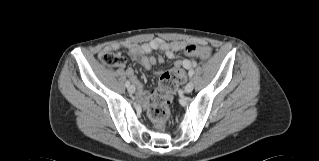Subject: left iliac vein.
<instances>
[{"label": "left iliac vein", "instance_id": "obj_1", "mask_svg": "<svg viewBox=\"0 0 319 161\" xmlns=\"http://www.w3.org/2000/svg\"><path fill=\"white\" fill-rule=\"evenodd\" d=\"M193 88H194V84H193V82L192 81H189L188 83H187V85L184 87V92L185 93H191L192 92V90H193Z\"/></svg>", "mask_w": 319, "mask_h": 161}]
</instances>
